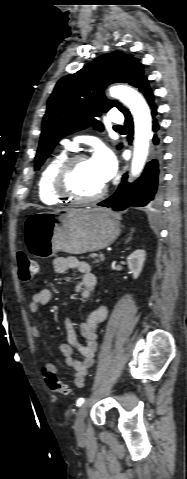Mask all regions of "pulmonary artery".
Returning <instances> with one entry per match:
<instances>
[{
    "label": "pulmonary artery",
    "instance_id": "obj_1",
    "mask_svg": "<svg viewBox=\"0 0 187 479\" xmlns=\"http://www.w3.org/2000/svg\"><path fill=\"white\" fill-rule=\"evenodd\" d=\"M108 120L111 124H113L115 127L121 126L123 123V116L118 110H111ZM62 143L69 149H75L76 148V143L69 141L68 139L62 140Z\"/></svg>",
    "mask_w": 187,
    "mask_h": 479
}]
</instances>
